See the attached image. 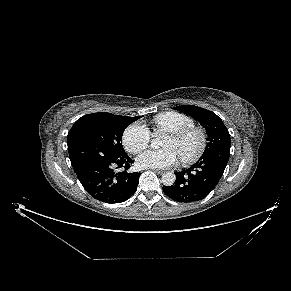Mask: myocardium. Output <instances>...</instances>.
I'll return each instance as SVG.
<instances>
[{"instance_id":"obj_1","label":"myocardium","mask_w":291,"mask_h":291,"mask_svg":"<svg viewBox=\"0 0 291 291\" xmlns=\"http://www.w3.org/2000/svg\"><path fill=\"white\" fill-rule=\"evenodd\" d=\"M169 135L177 140H184L189 136L195 135L198 138V144L196 149L187 156L181 157V161L184 164H190L195 162L204 152L207 145L206 131L198 126H191L180 130L169 132Z\"/></svg>"}]
</instances>
